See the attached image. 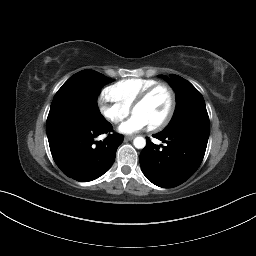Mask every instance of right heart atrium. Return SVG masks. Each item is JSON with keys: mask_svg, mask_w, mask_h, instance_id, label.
<instances>
[{"mask_svg": "<svg viewBox=\"0 0 256 256\" xmlns=\"http://www.w3.org/2000/svg\"><path fill=\"white\" fill-rule=\"evenodd\" d=\"M98 106L101 114L113 124L123 121L130 112V108L112 99L107 92L100 95Z\"/></svg>", "mask_w": 256, "mask_h": 256, "instance_id": "right-heart-atrium-1", "label": "right heart atrium"}]
</instances>
